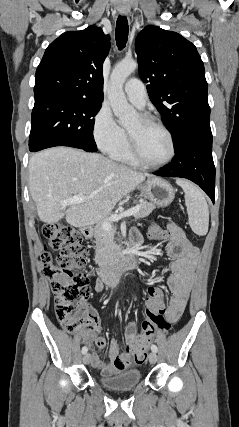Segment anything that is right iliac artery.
<instances>
[{"label":"right iliac artery","mask_w":239,"mask_h":427,"mask_svg":"<svg viewBox=\"0 0 239 427\" xmlns=\"http://www.w3.org/2000/svg\"><path fill=\"white\" fill-rule=\"evenodd\" d=\"M87 351H88L87 347H86V346H84V347L82 348V353H83V354H86V353H87Z\"/></svg>","instance_id":"82829eb1"}]
</instances>
